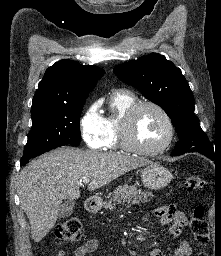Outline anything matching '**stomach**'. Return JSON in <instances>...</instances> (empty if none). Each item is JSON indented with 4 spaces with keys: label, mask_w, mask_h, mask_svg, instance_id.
Instances as JSON below:
<instances>
[{
    "label": "stomach",
    "mask_w": 221,
    "mask_h": 256,
    "mask_svg": "<svg viewBox=\"0 0 221 256\" xmlns=\"http://www.w3.org/2000/svg\"><path fill=\"white\" fill-rule=\"evenodd\" d=\"M172 179V174L163 165L150 163L141 171V180L144 186L153 190L166 187ZM94 210L102 207L103 201L100 197H94Z\"/></svg>",
    "instance_id": "0dacf381"
}]
</instances>
